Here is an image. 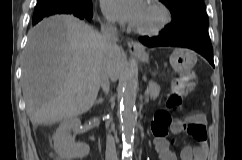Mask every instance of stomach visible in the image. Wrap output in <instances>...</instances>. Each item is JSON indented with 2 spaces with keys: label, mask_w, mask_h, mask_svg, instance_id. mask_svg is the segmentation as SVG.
Returning a JSON list of instances; mask_svg holds the SVG:
<instances>
[{
  "label": "stomach",
  "mask_w": 242,
  "mask_h": 160,
  "mask_svg": "<svg viewBox=\"0 0 242 160\" xmlns=\"http://www.w3.org/2000/svg\"><path fill=\"white\" fill-rule=\"evenodd\" d=\"M137 57L143 62H148L147 55L138 54ZM169 60L172 68L176 72L180 74H186L190 72L195 65L197 57L192 50L186 48H176L170 55Z\"/></svg>",
  "instance_id": "stomach-1"
}]
</instances>
